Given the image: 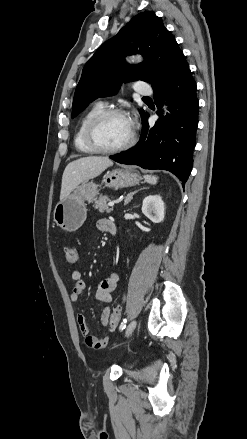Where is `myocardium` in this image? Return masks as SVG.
Here are the masks:
<instances>
[{
  "mask_svg": "<svg viewBox=\"0 0 247 439\" xmlns=\"http://www.w3.org/2000/svg\"><path fill=\"white\" fill-rule=\"evenodd\" d=\"M112 116H122L128 119L125 111L116 108L104 109L97 113L88 123L85 131V138L88 145L96 152L104 154H114L129 149L135 143V132L131 129V135L129 139L122 145L114 148L104 147L98 140L97 132L101 123Z\"/></svg>",
  "mask_w": 247,
  "mask_h": 439,
  "instance_id": "1",
  "label": "myocardium"
}]
</instances>
